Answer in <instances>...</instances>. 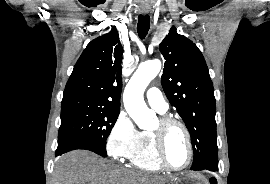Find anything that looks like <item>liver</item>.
<instances>
[{
	"instance_id": "6515ba94",
	"label": "liver",
	"mask_w": 270,
	"mask_h": 184,
	"mask_svg": "<svg viewBox=\"0 0 270 184\" xmlns=\"http://www.w3.org/2000/svg\"><path fill=\"white\" fill-rule=\"evenodd\" d=\"M166 180L137 173L96 154L75 150L59 157L53 184H165Z\"/></svg>"
}]
</instances>
